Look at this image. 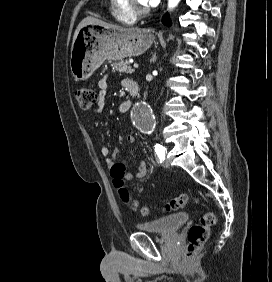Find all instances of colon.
<instances>
[{
	"label": "colon",
	"mask_w": 272,
	"mask_h": 282,
	"mask_svg": "<svg viewBox=\"0 0 272 282\" xmlns=\"http://www.w3.org/2000/svg\"><path fill=\"white\" fill-rule=\"evenodd\" d=\"M75 97L79 106L83 110L91 109L98 101V95L95 89L87 86H79L75 90ZM115 172H119V166H114ZM119 186V196L122 202L133 212L147 213L146 207L142 206L137 200L130 197L126 188ZM187 204V196L180 194L170 200L166 207V212H174L183 209ZM216 223V215L213 211H206L199 219V222L193 225L188 232V244L185 257L188 260L193 259L201 250L207 240L211 228Z\"/></svg>",
	"instance_id": "5ec220e1"
}]
</instances>
